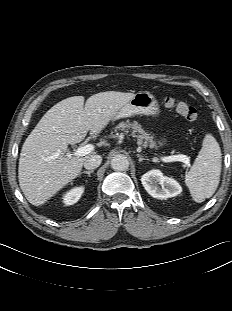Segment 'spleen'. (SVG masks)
I'll list each match as a JSON object with an SVG mask.
<instances>
[{
	"instance_id": "3e777b00",
	"label": "spleen",
	"mask_w": 232,
	"mask_h": 311,
	"mask_svg": "<svg viewBox=\"0 0 232 311\" xmlns=\"http://www.w3.org/2000/svg\"><path fill=\"white\" fill-rule=\"evenodd\" d=\"M221 155L218 142L207 134L193 166L185 175V184L195 202L201 203L215 193L220 181Z\"/></svg>"
}]
</instances>
